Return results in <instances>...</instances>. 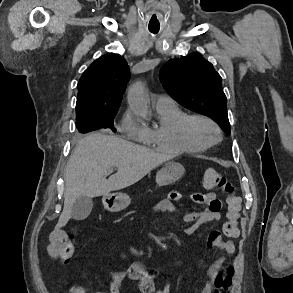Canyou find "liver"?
I'll return each instance as SVG.
<instances>
[{
    "label": "liver",
    "mask_w": 293,
    "mask_h": 293,
    "mask_svg": "<svg viewBox=\"0 0 293 293\" xmlns=\"http://www.w3.org/2000/svg\"><path fill=\"white\" fill-rule=\"evenodd\" d=\"M173 158L122 138L91 133L83 137L71 154L65 173L64 208L57 228L71 218L72 206L81 196H107L129 187L157 166ZM117 173L106 179L113 168Z\"/></svg>",
    "instance_id": "6515ba94"
}]
</instances>
